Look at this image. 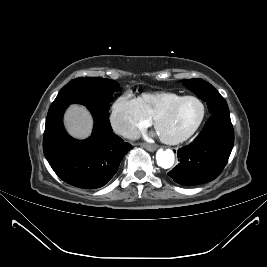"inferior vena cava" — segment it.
<instances>
[{"mask_svg":"<svg viewBox=\"0 0 267 267\" xmlns=\"http://www.w3.org/2000/svg\"><path fill=\"white\" fill-rule=\"evenodd\" d=\"M113 129L116 133L128 139H137L139 136L138 131L130 125L116 124L114 125Z\"/></svg>","mask_w":267,"mask_h":267,"instance_id":"602c4592","label":"inferior vena cava"}]
</instances>
